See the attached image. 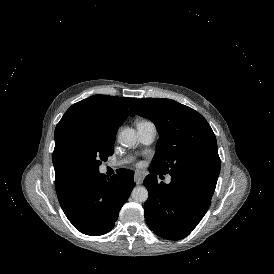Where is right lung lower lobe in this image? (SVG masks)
I'll return each mask as SVG.
<instances>
[{
	"label": "right lung lower lobe",
	"instance_id": "1",
	"mask_svg": "<svg viewBox=\"0 0 274 274\" xmlns=\"http://www.w3.org/2000/svg\"><path fill=\"white\" fill-rule=\"evenodd\" d=\"M134 173L119 169L106 180L99 171L73 176L56 188L60 205L73 226L86 235L109 232L135 183Z\"/></svg>",
	"mask_w": 274,
	"mask_h": 274
}]
</instances>
